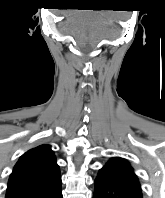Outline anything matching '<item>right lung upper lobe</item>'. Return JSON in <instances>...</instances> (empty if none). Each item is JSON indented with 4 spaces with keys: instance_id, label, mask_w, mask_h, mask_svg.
Returning a JSON list of instances; mask_svg holds the SVG:
<instances>
[{
    "instance_id": "obj_1",
    "label": "right lung upper lobe",
    "mask_w": 165,
    "mask_h": 198,
    "mask_svg": "<svg viewBox=\"0 0 165 198\" xmlns=\"http://www.w3.org/2000/svg\"><path fill=\"white\" fill-rule=\"evenodd\" d=\"M61 188L56 158L49 145L24 153L8 181L5 198H48Z\"/></svg>"
}]
</instances>
